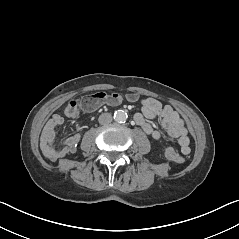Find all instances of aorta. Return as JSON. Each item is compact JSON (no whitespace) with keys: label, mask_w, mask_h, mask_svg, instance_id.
<instances>
[{"label":"aorta","mask_w":239,"mask_h":239,"mask_svg":"<svg viewBox=\"0 0 239 239\" xmlns=\"http://www.w3.org/2000/svg\"><path fill=\"white\" fill-rule=\"evenodd\" d=\"M113 118L118 123H124L127 120L128 115L125 111L118 110L114 112Z\"/></svg>","instance_id":"762f6f07"}]
</instances>
